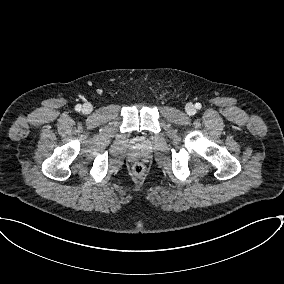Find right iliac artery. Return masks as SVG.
<instances>
[{
	"mask_svg": "<svg viewBox=\"0 0 284 284\" xmlns=\"http://www.w3.org/2000/svg\"><path fill=\"white\" fill-rule=\"evenodd\" d=\"M81 108H82V106H81L80 104H78V105L75 106V109H76L77 111H80Z\"/></svg>",
	"mask_w": 284,
	"mask_h": 284,
	"instance_id": "1",
	"label": "right iliac artery"
}]
</instances>
